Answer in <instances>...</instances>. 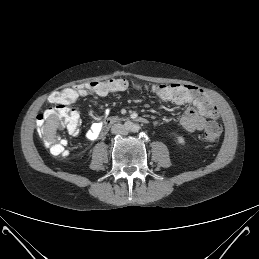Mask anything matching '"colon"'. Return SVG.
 Masks as SVG:
<instances>
[{"label": "colon", "instance_id": "1", "mask_svg": "<svg viewBox=\"0 0 259 259\" xmlns=\"http://www.w3.org/2000/svg\"><path fill=\"white\" fill-rule=\"evenodd\" d=\"M129 88L141 89L144 88L153 92L161 98L165 103H184L189 100L199 101L204 96V91L199 86L183 85V84H153L145 85L144 87L139 84L129 82L124 78H112L103 81H92L82 85L81 87L65 88L53 92L49 101L56 105L54 110L47 114H39L37 116V126L41 130L44 121L49 116H57L62 125L71 133L78 134L81 118L79 113L72 109V105L79 97L86 92H92L98 95H106L108 93L121 92ZM221 133V127L216 122H209L205 128L204 136L207 142H215ZM48 148L50 152L57 156H65L67 154L66 141L60 136H55L53 139L48 140Z\"/></svg>", "mask_w": 259, "mask_h": 259}]
</instances>
